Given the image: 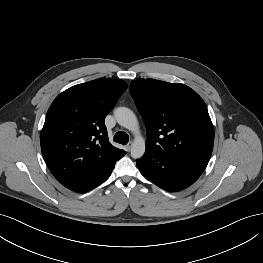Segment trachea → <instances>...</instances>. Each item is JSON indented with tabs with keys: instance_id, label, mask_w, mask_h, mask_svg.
Instances as JSON below:
<instances>
[{
	"instance_id": "3493384b",
	"label": "trachea",
	"mask_w": 263,
	"mask_h": 263,
	"mask_svg": "<svg viewBox=\"0 0 263 263\" xmlns=\"http://www.w3.org/2000/svg\"><path fill=\"white\" fill-rule=\"evenodd\" d=\"M114 141L126 145L129 141V136L123 131H119L114 135Z\"/></svg>"
}]
</instances>
